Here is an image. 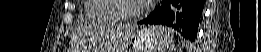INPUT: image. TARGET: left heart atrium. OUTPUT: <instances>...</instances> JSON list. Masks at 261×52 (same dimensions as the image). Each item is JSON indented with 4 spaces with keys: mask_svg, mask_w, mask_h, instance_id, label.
<instances>
[{
    "mask_svg": "<svg viewBox=\"0 0 261 52\" xmlns=\"http://www.w3.org/2000/svg\"><path fill=\"white\" fill-rule=\"evenodd\" d=\"M139 2H142L143 4H149V3H153V0H140Z\"/></svg>",
    "mask_w": 261,
    "mask_h": 52,
    "instance_id": "1",
    "label": "left heart atrium"
}]
</instances>
